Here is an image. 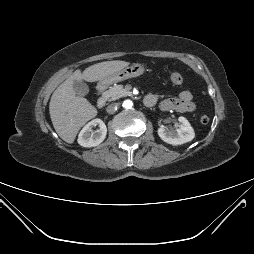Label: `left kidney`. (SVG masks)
Masks as SVG:
<instances>
[{
	"label": "left kidney",
	"mask_w": 254,
	"mask_h": 254,
	"mask_svg": "<svg viewBox=\"0 0 254 254\" xmlns=\"http://www.w3.org/2000/svg\"><path fill=\"white\" fill-rule=\"evenodd\" d=\"M178 121L179 129L169 130L166 127L158 128V135L164 142L171 145H181L193 140L195 132L189 121L182 116L178 118Z\"/></svg>",
	"instance_id": "1"
}]
</instances>
